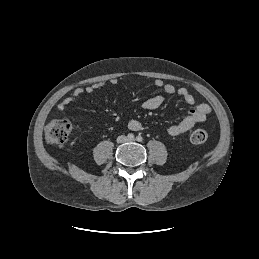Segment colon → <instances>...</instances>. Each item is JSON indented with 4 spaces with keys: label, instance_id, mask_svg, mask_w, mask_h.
Instances as JSON below:
<instances>
[{
    "label": "colon",
    "instance_id": "1",
    "mask_svg": "<svg viewBox=\"0 0 259 259\" xmlns=\"http://www.w3.org/2000/svg\"><path fill=\"white\" fill-rule=\"evenodd\" d=\"M72 129L71 121L68 119H52L45 127V139L47 143L53 145L64 144ZM208 139V133L203 128L195 129L190 136L193 144H203Z\"/></svg>",
    "mask_w": 259,
    "mask_h": 259
}]
</instances>
